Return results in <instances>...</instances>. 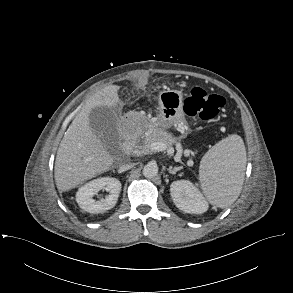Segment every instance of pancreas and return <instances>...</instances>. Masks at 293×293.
<instances>
[{
	"label": "pancreas",
	"instance_id": "obj_1",
	"mask_svg": "<svg viewBox=\"0 0 293 293\" xmlns=\"http://www.w3.org/2000/svg\"><path fill=\"white\" fill-rule=\"evenodd\" d=\"M141 138L142 145L139 147V151L143 154H152L155 152V150L150 147L153 142H163L167 146H172L175 142L173 135L161 128L149 129L142 134Z\"/></svg>",
	"mask_w": 293,
	"mask_h": 293
}]
</instances>
